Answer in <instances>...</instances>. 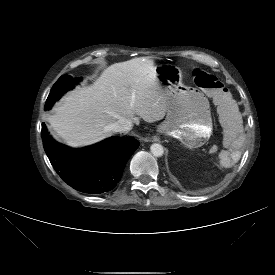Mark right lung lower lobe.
I'll return each mask as SVG.
<instances>
[{"instance_id":"right-lung-lower-lobe-1","label":"right lung lower lobe","mask_w":275,"mask_h":275,"mask_svg":"<svg viewBox=\"0 0 275 275\" xmlns=\"http://www.w3.org/2000/svg\"><path fill=\"white\" fill-rule=\"evenodd\" d=\"M44 150L57 174L72 188L89 194L112 190L129 157L140 143L134 138L111 137L83 149L56 143L42 124Z\"/></svg>"}]
</instances>
